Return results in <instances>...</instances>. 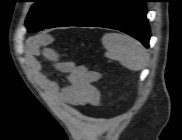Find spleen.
<instances>
[{"mask_svg": "<svg viewBox=\"0 0 182 140\" xmlns=\"http://www.w3.org/2000/svg\"><path fill=\"white\" fill-rule=\"evenodd\" d=\"M106 57L118 60L124 67L139 71L146 67L149 57L142 44L136 39L118 33H106L102 37Z\"/></svg>", "mask_w": 182, "mask_h": 140, "instance_id": "spleen-1", "label": "spleen"}]
</instances>
